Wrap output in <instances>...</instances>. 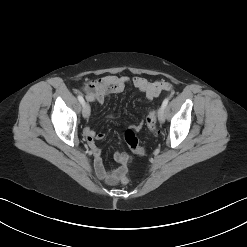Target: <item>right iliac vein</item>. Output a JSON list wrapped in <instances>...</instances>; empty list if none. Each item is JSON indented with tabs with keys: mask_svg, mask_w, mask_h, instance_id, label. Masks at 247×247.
Masks as SVG:
<instances>
[{
	"mask_svg": "<svg viewBox=\"0 0 247 247\" xmlns=\"http://www.w3.org/2000/svg\"><path fill=\"white\" fill-rule=\"evenodd\" d=\"M90 112H91V109H90L89 104L84 103L83 109H82L83 117L86 118V119L89 118Z\"/></svg>",
	"mask_w": 247,
	"mask_h": 247,
	"instance_id": "63e3f726",
	"label": "right iliac vein"
}]
</instances>
